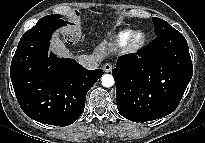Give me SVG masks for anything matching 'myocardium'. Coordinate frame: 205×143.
Listing matches in <instances>:
<instances>
[{"label":"myocardium","instance_id":"myocardium-1","mask_svg":"<svg viewBox=\"0 0 205 143\" xmlns=\"http://www.w3.org/2000/svg\"><path fill=\"white\" fill-rule=\"evenodd\" d=\"M147 36L146 34L141 30H136L132 32L129 40H128V48L131 51H138L140 50L146 43Z\"/></svg>","mask_w":205,"mask_h":143}]
</instances>
